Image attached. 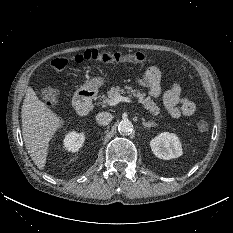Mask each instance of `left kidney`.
Segmentation results:
<instances>
[{
	"label": "left kidney",
	"mask_w": 233,
	"mask_h": 233,
	"mask_svg": "<svg viewBox=\"0 0 233 233\" xmlns=\"http://www.w3.org/2000/svg\"><path fill=\"white\" fill-rule=\"evenodd\" d=\"M150 146L155 156L164 160L178 158L183 153L180 140L173 133L159 134L151 140Z\"/></svg>",
	"instance_id": "1"
}]
</instances>
